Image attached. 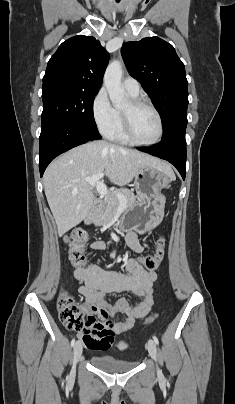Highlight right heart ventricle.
Wrapping results in <instances>:
<instances>
[{"instance_id":"e07e8e85","label":"right heart ventricle","mask_w":235,"mask_h":404,"mask_svg":"<svg viewBox=\"0 0 235 404\" xmlns=\"http://www.w3.org/2000/svg\"><path fill=\"white\" fill-rule=\"evenodd\" d=\"M133 98H136L137 96L131 95ZM117 111V119L114 128L111 130L110 133H108L106 136L115 142L121 143V144H129L130 142L128 139L125 137L123 128H122V118H121V111Z\"/></svg>"}]
</instances>
